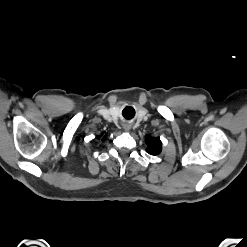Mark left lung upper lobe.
<instances>
[{
    "label": "left lung upper lobe",
    "instance_id": "1",
    "mask_svg": "<svg viewBox=\"0 0 247 247\" xmlns=\"http://www.w3.org/2000/svg\"><path fill=\"white\" fill-rule=\"evenodd\" d=\"M147 152L151 155H157L161 152L162 144L159 138H151L147 140Z\"/></svg>",
    "mask_w": 247,
    "mask_h": 247
}]
</instances>
